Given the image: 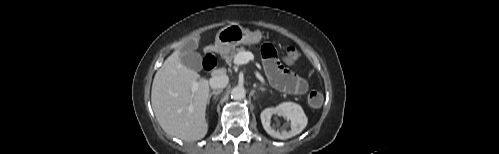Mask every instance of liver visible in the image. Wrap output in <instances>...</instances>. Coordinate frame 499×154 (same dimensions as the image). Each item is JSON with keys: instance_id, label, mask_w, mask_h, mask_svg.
<instances>
[{"instance_id": "1", "label": "liver", "mask_w": 499, "mask_h": 154, "mask_svg": "<svg viewBox=\"0 0 499 154\" xmlns=\"http://www.w3.org/2000/svg\"><path fill=\"white\" fill-rule=\"evenodd\" d=\"M180 50L173 52L156 72L151 104L158 123L169 135L184 141L205 137V119L209 82L182 64ZM198 85L192 91V85Z\"/></svg>"}]
</instances>
